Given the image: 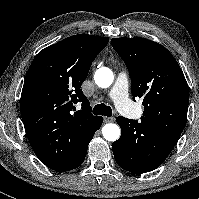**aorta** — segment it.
Instances as JSON below:
<instances>
[{"mask_svg":"<svg viewBox=\"0 0 199 199\" xmlns=\"http://www.w3.org/2000/svg\"><path fill=\"white\" fill-rule=\"evenodd\" d=\"M95 83L101 88L109 87L113 80V72L106 67L99 68L94 75ZM103 137L108 141H116L120 137V128L118 125L108 123L102 128Z\"/></svg>","mask_w":199,"mask_h":199,"instance_id":"obj_1","label":"aorta"}]
</instances>
